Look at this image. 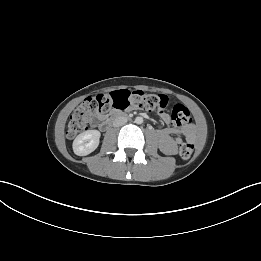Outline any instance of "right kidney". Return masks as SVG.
I'll return each instance as SVG.
<instances>
[{"instance_id": "right-kidney-1", "label": "right kidney", "mask_w": 261, "mask_h": 261, "mask_svg": "<svg viewBox=\"0 0 261 261\" xmlns=\"http://www.w3.org/2000/svg\"><path fill=\"white\" fill-rule=\"evenodd\" d=\"M100 132L87 130L79 134L73 141V151L78 156H85L93 152L99 145Z\"/></svg>"}]
</instances>
